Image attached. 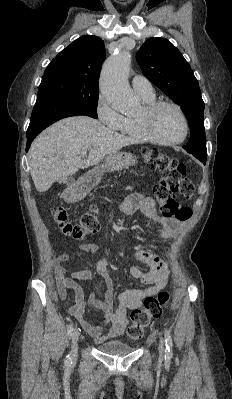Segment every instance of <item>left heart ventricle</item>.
<instances>
[{"label":"left heart ventricle","mask_w":232,"mask_h":399,"mask_svg":"<svg viewBox=\"0 0 232 399\" xmlns=\"http://www.w3.org/2000/svg\"><path fill=\"white\" fill-rule=\"evenodd\" d=\"M152 128L160 138L166 140H179L184 134L182 118L171 106H163L156 112L152 119Z\"/></svg>","instance_id":"1"}]
</instances>
